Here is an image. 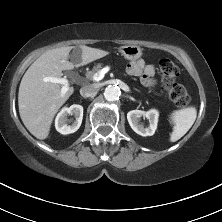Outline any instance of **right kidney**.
<instances>
[{"label": "right kidney", "mask_w": 222, "mask_h": 222, "mask_svg": "<svg viewBox=\"0 0 222 222\" xmlns=\"http://www.w3.org/2000/svg\"><path fill=\"white\" fill-rule=\"evenodd\" d=\"M68 115H74L75 117V121L71 125L67 124ZM82 119H83V107L81 105L74 104L71 105L70 107H64L56 116L55 128L59 133L63 135L71 134L79 129L82 123Z\"/></svg>", "instance_id": "right-kidney-1"}]
</instances>
